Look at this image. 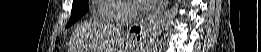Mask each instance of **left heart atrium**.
<instances>
[{"label":"left heart atrium","instance_id":"39dd6f15","mask_svg":"<svg viewBox=\"0 0 261 52\" xmlns=\"http://www.w3.org/2000/svg\"><path fill=\"white\" fill-rule=\"evenodd\" d=\"M133 3L141 9L153 8L156 4V0H133Z\"/></svg>","mask_w":261,"mask_h":52}]
</instances>
